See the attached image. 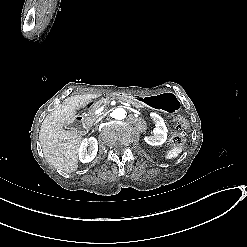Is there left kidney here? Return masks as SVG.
<instances>
[{"mask_svg":"<svg viewBox=\"0 0 247 247\" xmlns=\"http://www.w3.org/2000/svg\"><path fill=\"white\" fill-rule=\"evenodd\" d=\"M151 117L156 122V127L153 131L154 135L150 137L146 136L144 140L146 143L152 146L162 145L167 139V127L164 123V120L159 115L151 113Z\"/></svg>","mask_w":247,"mask_h":247,"instance_id":"5707ae66","label":"left kidney"}]
</instances>
